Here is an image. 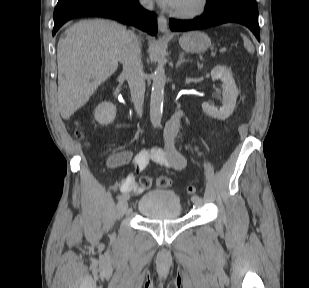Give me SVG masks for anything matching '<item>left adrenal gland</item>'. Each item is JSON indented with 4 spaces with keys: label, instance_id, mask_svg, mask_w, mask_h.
Segmentation results:
<instances>
[{
    "label": "left adrenal gland",
    "instance_id": "obj_1",
    "mask_svg": "<svg viewBox=\"0 0 309 288\" xmlns=\"http://www.w3.org/2000/svg\"><path fill=\"white\" fill-rule=\"evenodd\" d=\"M187 61H189V60H186L184 58V52L179 53V59L176 63V68H178L182 63L187 62Z\"/></svg>",
    "mask_w": 309,
    "mask_h": 288
}]
</instances>
